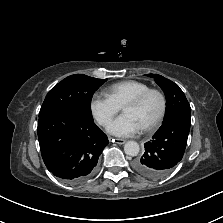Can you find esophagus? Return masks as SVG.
<instances>
[{
  "instance_id": "1",
  "label": "esophagus",
  "mask_w": 223,
  "mask_h": 223,
  "mask_svg": "<svg viewBox=\"0 0 223 223\" xmlns=\"http://www.w3.org/2000/svg\"><path fill=\"white\" fill-rule=\"evenodd\" d=\"M110 140H111L112 142H116L117 144H120V145H122V144H124V143L126 142V140L121 139V138H116V139H111V138H110Z\"/></svg>"
}]
</instances>
